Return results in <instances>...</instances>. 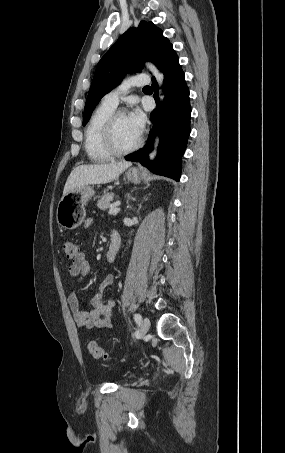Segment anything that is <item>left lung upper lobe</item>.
Instances as JSON below:
<instances>
[{"mask_svg": "<svg viewBox=\"0 0 285 453\" xmlns=\"http://www.w3.org/2000/svg\"><path fill=\"white\" fill-rule=\"evenodd\" d=\"M172 48L161 29L152 22L141 21L137 28H130L99 61L84 109L83 125L89 121L100 99L117 86L124 75L139 70L144 61L159 67L161 60Z\"/></svg>", "mask_w": 285, "mask_h": 453, "instance_id": "5c2ea615", "label": "left lung upper lobe"}]
</instances>
